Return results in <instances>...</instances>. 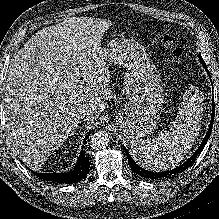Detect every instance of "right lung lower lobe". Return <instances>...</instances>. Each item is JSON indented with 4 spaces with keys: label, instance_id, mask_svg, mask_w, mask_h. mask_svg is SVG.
<instances>
[{
    "label": "right lung lower lobe",
    "instance_id": "right-lung-lower-lobe-1",
    "mask_svg": "<svg viewBox=\"0 0 219 219\" xmlns=\"http://www.w3.org/2000/svg\"><path fill=\"white\" fill-rule=\"evenodd\" d=\"M89 137L86 136L85 140ZM90 167L89 159L85 157L83 150L80 153L78 163L74 170L68 173H37L32 171L36 176L46 181H52L57 183L72 184L82 180L88 173Z\"/></svg>",
    "mask_w": 219,
    "mask_h": 219
}]
</instances>
